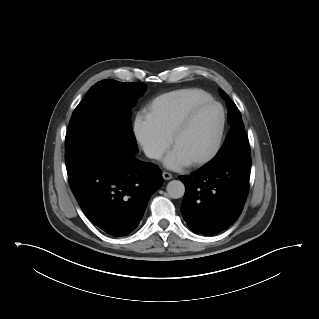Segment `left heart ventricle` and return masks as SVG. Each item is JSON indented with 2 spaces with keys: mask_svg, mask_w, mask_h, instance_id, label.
I'll list each match as a JSON object with an SVG mask.
<instances>
[{
  "mask_svg": "<svg viewBox=\"0 0 319 319\" xmlns=\"http://www.w3.org/2000/svg\"><path fill=\"white\" fill-rule=\"evenodd\" d=\"M220 123V109L215 105L204 107L188 130L175 141L173 149L189 163L205 157L215 147Z\"/></svg>",
  "mask_w": 319,
  "mask_h": 319,
  "instance_id": "obj_1",
  "label": "left heart ventricle"
}]
</instances>
